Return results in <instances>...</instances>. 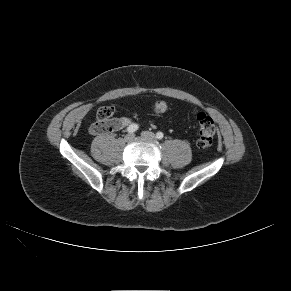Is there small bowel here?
<instances>
[{"instance_id":"c3829d8e","label":"small bowel","mask_w":291,"mask_h":291,"mask_svg":"<svg viewBox=\"0 0 291 291\" xmlns=\"http://www.w3.org/2000/svg\"><path fill=\"white\" fill-rule=\"evenodd\" d=\"M134 120L132 117L129 116H122V117H116L112 119L113 123V130L112 131H119L133 123Z\"/></svg>"}]
</instances>
